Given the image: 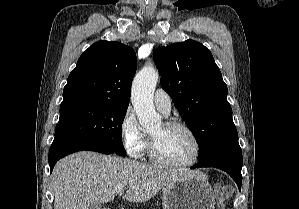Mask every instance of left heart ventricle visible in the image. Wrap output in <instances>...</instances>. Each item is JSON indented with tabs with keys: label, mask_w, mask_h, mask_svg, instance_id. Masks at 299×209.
I'll list each match as a JSON object with an SVG mask.
<instances>
[{
	"label": "left heart ventricle",
	"mask_w": 299,
	"mask_h": 209,
	"mask_svg": "<svg viewBox=\"0 0 299 209\" xmlns=\"http://www.w3.org/2000/svg\"><path fill=\"white\" fill-rule=\"evenodd\" d=\"M150 136L159 155L168 162L185 163L194 155V142L182 129H168L162 123L150 132Z\"/></svg>",
	"instance_id": "obj_1"
}]
</instances>
